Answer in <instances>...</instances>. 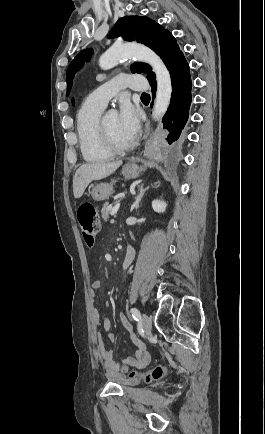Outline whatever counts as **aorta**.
Segmentation results:
<instances>
[{"instance_id":"aorta-1","label":"aorta","mask_w":265,"mask_h":434,"mask_svg":"<svg viewBox=\"0 0 265 434\" xmlns=\"http://www.w3.org/2000/svg\"><path fill=\"white\" fill-rule=\"evenodd\" d=\"M126 56H132V58H136L139 62H146V64L152 66L157 80L153 118L154 120H162L170 106L172 94L171 78L165 64H163L161 58H159L155 52H152V50L146 48V46H141V44H123L120 48L111 46L105 54H102V56H100L99 66L101 70H111V68L118 66L121 58H126Z\"/></svg>"}]
</instances>
